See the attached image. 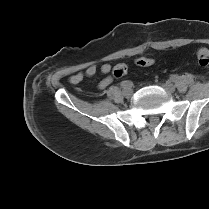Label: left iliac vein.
Here are the masks:
<instances>
[{"label":"left iliac vein","mask_w":209,"mask_h":209,"mask_svg":"<svg viewBox=\"0 0 209 209\" xmlns=\"http://www.w3.org/2000/svg\"><path fill=\"white\" fill-rule=\"evenodd\" d=\"M163 87L168 90L169 92L175 91V86L171 82H166Z\"/></svg>","instance_id":"4c4485c4"}]
</instances>
